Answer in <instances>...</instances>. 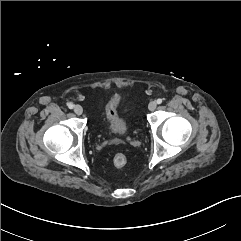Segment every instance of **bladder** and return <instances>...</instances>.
<instances>
[{
  "label": "bladder",
  "instance_id": "bladder-1",
  "mask_svg": "<svg viewBox=\"0 0 241 241\" xmlns=\"http://www.w3.org/2000/svg\"><path fill=\"white\" fill-rule=\"evenodd\" d=\"M109 105H112L115 111L118 105V100L116 98L111 99ZM104 124L106 130L115 136H124L129 129L126 119L119 116L116 112L114 114L106 113Z\"/></svg>",
  "mask_w": 241,
  "mask_h": 241
}]
</instances>
